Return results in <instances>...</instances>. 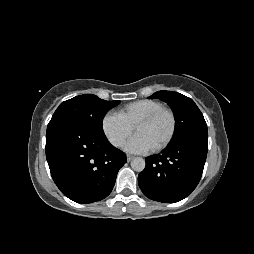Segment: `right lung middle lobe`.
<instances>
[{
    "instance_id": "dd1d6c3e",
    "label": "right lung middle lobe",
    "mask_w": 254,
    "mask_h": 254,
    "mask_svg": "<svg viewBox=\"0 0 254 254\" xmlns=\"http://www.w3.org/2000/svg\"><path fill=\"white\" fill-rule=\"evenodd\" d=\"M120 101H105L92 94L76 96L59 105L50 122L68 120L92 130L103 132L105 114Z\"/></svg>"
}]
</instances>
